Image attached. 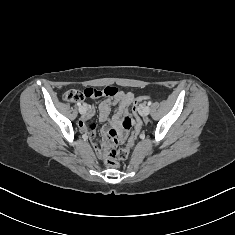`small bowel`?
Returning <instances> with one entry per match:
<instances>
[{"instance_id": "1", "label": "small bowel", "mask_w": 235, "mask_h": 235, "mask_svg": "<svg viewBox=\"0 0 235 235\" xmlns=\"http://www.w3.org/2000/svg\"><path fill=\"white\" fill-rule=\"evenodd\" d=\"M113 89L115 91L114 94L108 96V98L101 102L99 106V120L103 123V131H108L117 126L121 117L128 114L129 107L134 100L133 93L119 91L114 87ZM83 105L86 109V113L79 120V127L86 130L88 134H91V132L95 129V125L90 120L93 117L95 110L90 104L84 103ZM112 105H117V110L110 119L109 115ZM91 140L94 141L93 137H91Z\"/></svg>"}]
</instances>
